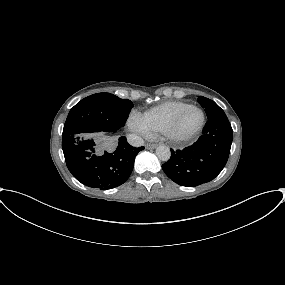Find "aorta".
<instances>
[{
	"label": "aorta",
	"instance_id": "762f6f07",
	"mask_svg": "<svg viewBox=\"0 0 285 285\" xmlns=\"http://www.w3.org/2000/svg\"><path fill=\"white\" fill-rule=\"evenodd\" d=\"M156 155L161 161H168L171 157L170 149L167 146L160 145L156 148Z\"/></svg>",
	"mask_w": 285,
	"mask_h": 285
}]
</instances>
